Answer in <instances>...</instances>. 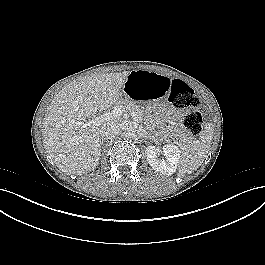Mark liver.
Returning a JSON list of instances; mask_svg holds the SVG:
<instances>
[{
  "label": "liver",
  "mask_w": 265,
  "mask_h": 265,
  "mask_svg": "<svg viewBox=\"0 0 265 265\" xmlns=\"http://www.w3.org/2000/svg\"><path fill=\"white\" fill-rule=\"evenodd\" d=\"M130 72L92 75L73 81L51 101L43 120L42 141L64 173L93 171L101 155V127L76 126L115 104Z\"/></svg>",
  "instance_id": "6515ba94"
}]
</instances>
